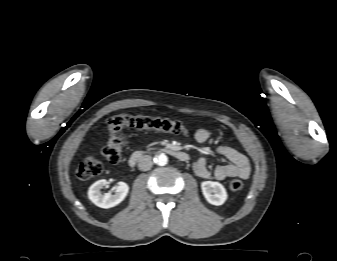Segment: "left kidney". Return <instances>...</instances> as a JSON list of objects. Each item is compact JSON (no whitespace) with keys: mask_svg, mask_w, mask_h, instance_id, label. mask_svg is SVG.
I'll return each mask as SVG.
<instances>
[{"mask_svg":"<svg viewBox=\"0 0 337 261\" xmlns=\"http://www.w3.org/2000/svg\"><path fill=\"white\" fill-rule=\"evenodd\" d=\"M201 189L205 199L212 205H222L227 199V192L219 182L204 181L201 183Z\"/></svg>","mask_w":337,"mask_h":261,"instance_id":"1","label":"left kidney"}]
</instances>
